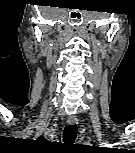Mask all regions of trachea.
<instances>
[{"instance_id":"trachea-1","label":"trachea","mask_w":135,"mask_h":153,"mask_svg":"<svg viewBox=\"0 0 135 153\" xmlns=\"http://www.w3.org/2000/svg\"><path fill=\"white\" fill-rule=\"evenodd\" d=\"M77 135V126L68 125L64 128L63 140L65 143H73Z\"/></svg>"}]
</instances>
